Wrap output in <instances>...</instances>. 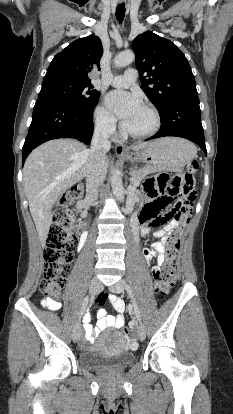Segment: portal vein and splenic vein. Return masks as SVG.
Wrapping results in <instances>:
<instances>
[{
  "instance_id": "18ae733b",
  "label": "portal vein and splenic vein",
  "mask_w": 233,
  "mask_h": 414,
  "mask_svg": "<svg viewBox=\"0 0 233 414\" xmlns=\"http://www.w3.org/2000/svg\"><path fill=\"white\" fill-rule=\"evenodd\" d=\"M131 181H132V183H133L134 186H138L139 185V182L136 181V180H134L133 178H131Z\"/></svg>"
}]
</instances>
